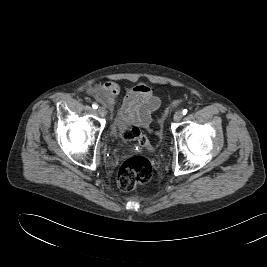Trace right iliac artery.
<instances>
[{
	"instance_id": "1",
	"label": "right iliac artery",
	"mask_w": 267,
	"mask_h": 267,
	"mask_svg": "<svg viewBox=\"0 0 267 267\" xmlns=\"http://www.w3.org/2000/svg\"><path fill=\"white\" fill-rule=\"evenodd\" d=\"M92 107H93V109H97L98 108V105L96 103H93L92 104Z\"/></svg>"
}]
</instances>
